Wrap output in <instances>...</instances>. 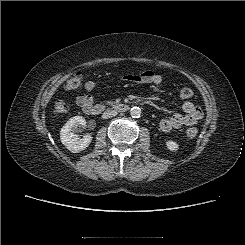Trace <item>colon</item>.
I'll use <instances>...</instances> for the list:
<instances>
[{"mask_svg":"<svg viewBox=\"0 0 245 245\" xmlns=\"http://www.w3.org/2000/svg\"><path fill=\"white\" fill-rule=\"evenodd\" d=\"M83 87V77L80 73L73 74L65 83V88L70 91H79ZM193 95V91L184 87L180 90V96L184 99H188ZM53 110L56 114L61 115L68 111V104L64 100H56L53 106ZM198 131L194 127L187 128L185 130V136L188 138H194Z\"/></svg>","mask_w":245,"mask_h":245,"instance_id":"5ec220e1","label":"colon"}]
</instances>
